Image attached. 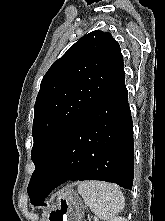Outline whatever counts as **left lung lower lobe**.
<instances>
[{"label":"left lung lower lobe","instance_id":"0a47b994","mask_svg":"<svg viewBox=\"0 0 165 221\" xmlns=\"http://www.w3.org/2000/svg\"><path fill=\"white\" fill-rule=\"evenodd\" d=\"M133 123L124 70L67 135L31 203L69 180H101L132 189Z\"/></svg>","mask_w":165,"mask_h":221}]
</instances>
